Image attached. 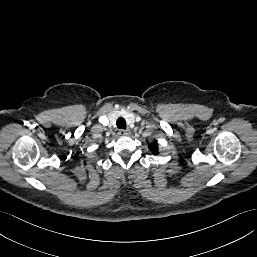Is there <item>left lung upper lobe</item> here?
I'll use <instances>...</instances> for the list:
<instances>
[{"instance_id": "obj_1", "label": "left lung upper lobe", "mask_w": 257, "mask_h": 257, "mask_svg": "<svg viewBox=\"0 0 257 257\" xmlns=\"http://www.w3.org/2000/svg\"><path fill=\"white\" fill-rule=\"evenodd\" d=\"M149 149L153 154H158V144L157 142H153L152 144H149Z\"/></svg>"}]
</instances>
